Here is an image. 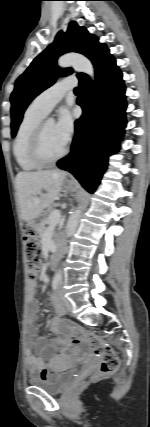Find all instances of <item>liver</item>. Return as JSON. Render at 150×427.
Returning a JSON list of instances; mask_svg holds the SVG:
<instances>
[{
  "instance_id": "6515ba94",
  "label": "liver",
  "mask_w": 150,
  "mask_h": 427,
  "mask_svg": "<svg viewBox=\"0 0 150 427\" xmlns=\"http://www.w3.org/2000/svg\"><path fill=\"white\" fill-rule=\"evenodd\" d=\"M67 173L59 170L38 172H19L16 176V189L21 210V218L31 221L40 216L58 198ZM46 192L43 193L42 191ZM40 195V202L34 201Z\"/></svg>"
}]
</instances>
